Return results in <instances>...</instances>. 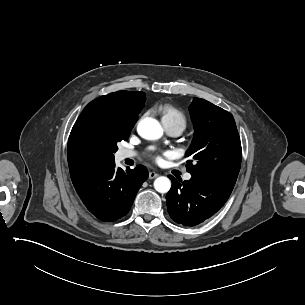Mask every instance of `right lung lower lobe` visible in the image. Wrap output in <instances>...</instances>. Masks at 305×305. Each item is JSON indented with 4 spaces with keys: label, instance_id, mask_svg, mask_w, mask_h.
Masks as SVG:
<instances>
[{
    "label": "right lung lower lobe",
    "instance_id": "98d812e1",
    "mask_svg": "<svg viewBox=\"0 0 305 305\" xmlns=\"http://www.w3.org/2000/svg\"><path fill=\"white\" fill-rule=\"evenodd\" d=\"M148 178L145 167L123 171L115 163L102 166L72 180L87 209L99 220L111 222L125 216L143 182Z\"/></svg>",
    "mask_w": 305,
    "mask_h": 305
}]
</instances>
